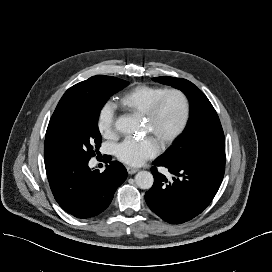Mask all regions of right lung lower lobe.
Here are the masks:
<instances>
[{"label": "right lung lower lobe", "mask_w": 272, "mask_h": 272, "mask_svg": "<svg viewBox=\"0 0 272 272\" xmlns=\"http://www.w3.org/2000/svg\"><path fill=\"white\" fill-rule=\"evenodd\" d=\"M88 162L83 159L45 162L56 201L77 218H90L103 212L127 177L125 167L117 161L110 162L102 173L91 170Z\"/></svg>", "instance_id": "1"}]
</instances>
